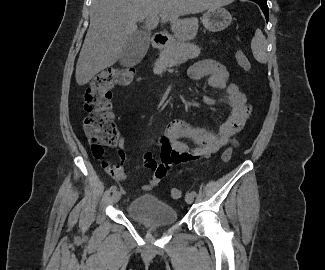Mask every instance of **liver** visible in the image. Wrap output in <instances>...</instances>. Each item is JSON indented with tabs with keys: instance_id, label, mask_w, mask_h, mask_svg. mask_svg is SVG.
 <instances>
[{
	"instance_id": "1",
	"label": "liver",
	"mask_w": 325,
	"mask_h": 270,
	"mask_svg": "<svg viewBox=\"0 0 325 270\" xmlns=\"http://www.w3.org/2000/svg\"><path fill=\"white\" fill-rule=\"evenodd\" d=\"M232 0H93L90 26L76 65V82L83 86L100 71L111 67L120 58L129 38L137 31V21L145 22V29L169 22L175 37L193 38L198 20L181 16L195 14L209 8H219Z\"/></svg>"
}]
</instances>
